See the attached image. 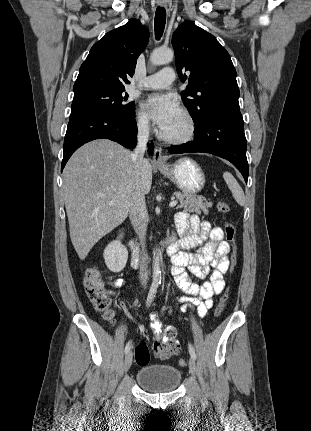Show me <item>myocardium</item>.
<instances>
[{
  "mask_svg": "<svg viewBox=\"0 0 311 431\" xmlns=\"http://www.w3.org/2000/svg\"><path fill=\"white\" fill-rule=\"evenodd\" d=\"M181 113L189 123L188 132L184 135L175 136V137H167L162 132H160V139L162 141L168 144L178 145V144H185L187 142H190L195 138V136L198 133V122L196 117L188 109H182Z\"/></svg>",
  "mask_w": 311,
  "mask_h": 431,
  "instance_id": "obj_1",
  "label": "myocardium"
}]
</instances>
